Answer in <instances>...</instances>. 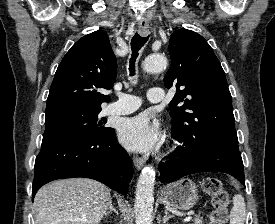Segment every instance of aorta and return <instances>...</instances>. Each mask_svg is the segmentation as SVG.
Instances as JSON below:
<instances>
[{
  "instance_id": "762f6f07",
  "label": "aorta",
  "mask_w": 275,
  "mask_h": 224,
  "mask_svg": "<svg viewBox=\"0 0 275 224\" xmlns=\"http://www.w3.org/2000/svg\"><path fill=\"white\" fill-rule=\"evenodd\" d=\"M167 59L159 54L145 58L143 66L147 72H159L167 67ZM155 170L152 166L143 168L137 181L135 196V224H152L154 202Z\"/></svg>"
}]
</instances>
